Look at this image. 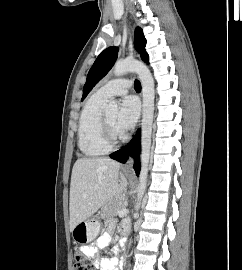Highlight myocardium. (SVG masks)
I'll return each instance as SVG.
<instances>
[{"label":"myocardium","mask_w":242,"mask_h":270,"mask_svg":"<svg viewBox=\"0 0 242 270\" xmlns=\"http://www.w3.org/2000/svg\"><path fill=\"white\" fill-rule=\"evenodd\" d=\"M101 132L103 142L109 149L117 147L124 139L123 133L115 131L110 125L105 113H103L101 119Z\"/></svg>","instance_id":"1"}]
</instances>
